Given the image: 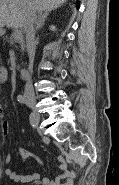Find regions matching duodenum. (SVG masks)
I'll list each match as a JSON object with an SVG mask.
<instances>
[{"label":"duodenum","instance_id":"1","mask_svg":"<svg viewBox=\"0 0 119 185\" xmlns=\"http://www.w3.org/2000/svg\"><path fill=\"white\" fill-rule=\"evenodd\" d=\"M19 72L23 80H26L30 77V71L27 68H21Z\"/></svg>","mask_w":119,"mask_h":185}]
</instances>
